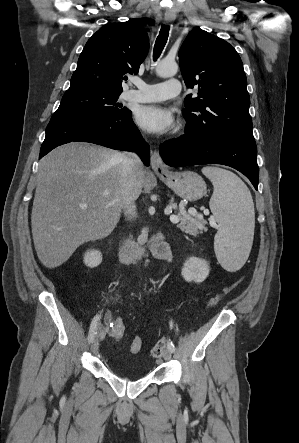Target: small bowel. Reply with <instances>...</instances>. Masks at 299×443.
Masks as SVG:
<instances>
[{
    "mask_svg": "<svg viewBox=\"0 0 299 443\" xmlns=\"http://www.w3.org/2000/svg\"><path fill=\"white\" fill-rule=\"evenodd\" d=\"M165 260H171V254L168 253L164 257H162ZM112 321V313L110 310H107L105 313V325H102L99 329V337L101 339L105 338L108 335L109 325L111 326Z\"/></svg>",
    "mask_w": 299,
    "mask_h": 443,
    "instance_id": "c3829d8e",
    "label": "small bowel"
}]
</instances>
